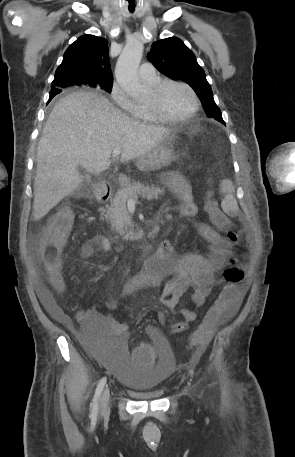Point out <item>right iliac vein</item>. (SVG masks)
<instances>
[{"mask_svg": "<svg viewBox=\"0 0 295 457\" xmlns=\"http://www.w3.org/2000/svg\"><path fill=\"white\" fill-rule=\"evenodd\" d=\"M109 401H110V390L106 387L103 391V394L99 402V411L105 413L109 410Z\"/></svg>", "mask_w": 295, "mask_h": 457, "instance_id": "63e3f726", "label": "right iliac vein"}]
</instances>
